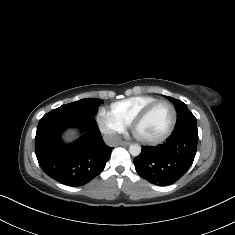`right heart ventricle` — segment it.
I'll return each mask as SVG.
<instances>
[{"label":"right heart ventricle","instance_id":"right-heart-ventricle-1","mask_svg":"<svg viewBox=\"0 0 235 235\" xmlns=\"http://www.w3.org/2000/svg\"><path fill=\"white\" fill-rule=\"evenodd\" d=\"M157 100L158 98L150 94L129 97L111 104L110 112L125 127H128L138 114Z\"/></svg>","mask_w":235,"mask_h":235}]
</instances>
